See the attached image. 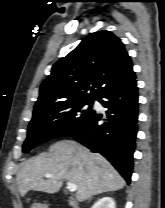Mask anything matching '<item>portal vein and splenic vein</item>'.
I'll list each match as a JSON object with an SVG mask.
<instances>
[{
    "label": "portal vein and splenic vein",
    "mask_w": 165,
    "mask_h": 208,
    "mask_svg": "<svg viewBox=\"0 0 165 208\" xmlns=\"http://www.w3.org/2000/svg\"><path fill=\"white\" fill-rule=\"evenodd\" d=\"M45 177L50 178V177H52V175L51 174H45ZM67 188L70 192H74V191H76L77 186L75 184L71 183V182H67Z\"/></svg>",
    "instance_id": "1"
}]
</instances>
